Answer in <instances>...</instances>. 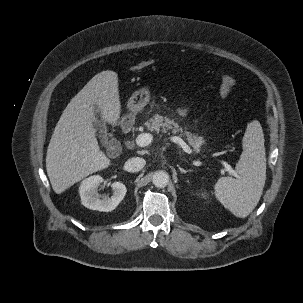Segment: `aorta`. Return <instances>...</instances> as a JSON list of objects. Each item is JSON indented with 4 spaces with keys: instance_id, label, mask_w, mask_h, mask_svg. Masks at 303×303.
<instances>
[{
    "instance_id": "762f6f07",
    "label": "aorta",
    "mask_w": 303,
    "mask_h": 303,
    "mask_svg": "<svg viewBox=\"0 0 303 303\" xmlns=\"http://www.w3.org/2000/svg\"><path fill=\"white\" fill-rule=\"evenodd\" d=\"M152 182H153L154 186H156L158 188H163L169 182V175L165 171H162V170L157 171L153 175Z\"/></svg>"
}]
</instances>
